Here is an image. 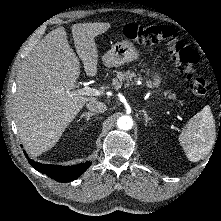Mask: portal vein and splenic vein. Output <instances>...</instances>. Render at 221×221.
<instances>
[{"label":"portal vein and splenic vein","instance_id":"1","mask_svg":"<svg viewBox=\"0 0 221 221\" xmlns=\"http://www.w3.org/2000/svg\"><path fill=\"white\" fill-rule=\"evenodd\" d=\"M102 91L91 88L88 85H85L84 88L78 89L74 91L73 95L75 96H81V95H87V96H101Z\"/></svg>","mask_w":221,"mask_h":221}]
</instances>
